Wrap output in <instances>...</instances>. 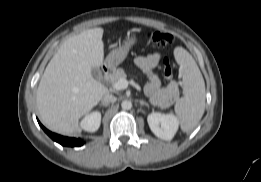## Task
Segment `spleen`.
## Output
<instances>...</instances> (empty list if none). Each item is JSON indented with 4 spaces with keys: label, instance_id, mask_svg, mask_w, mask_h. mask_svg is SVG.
<instances>
[{
    "label": "spleen",
    "instance_id": "1",
    "mask_svg": "<svg viewBox=\"0 0 261 182\" xmlns=\"http://www.w3.org/2000/svg\"><path fill=\"white\" fill-rule=\"evenodd\" d=\"M183 77V97L175 104V113L184 132H191L205 110V82L192 55L182 47L174 50Z\"/></svg>",
    "mask_w": 261,
    "mask_h": 182
}]
</instances>
